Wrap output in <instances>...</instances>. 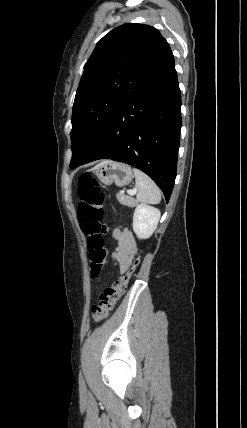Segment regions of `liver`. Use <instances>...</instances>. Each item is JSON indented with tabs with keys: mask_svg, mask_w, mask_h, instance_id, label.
I'll return each mask as SVG.
<instances>
[{
	"mask_svg": "<svg viewBox=\"0 0 247 428\" xmlns=\"http://www.w3.org/2000/svg\"><path fill=\"white\" fill-rule=\"evenodd\" d=\"M107 162H109V161H103L102 163H100V164H98L97 166H95V168H94V169H96L97 167H99L101 164H103V163H107Z\"/></svg>",
	"mask_w": 247,
	"mask_h": 428,
	"instance_id": "6515ba94",
	"label": "liver"
}]
</instances>
